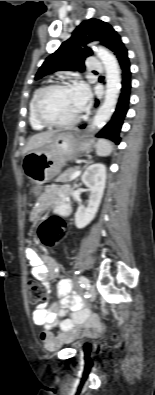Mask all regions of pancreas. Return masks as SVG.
Masks as SVG:
<instances>
[{"label": "pancreas", "mask_w": 155, "mask_h": 395, "mask_svg": "<svg viewBox=\"0 0 155 395\" xmlns=\"http://www.w3.org/2000/svg\"><path fill=\"white\" fill-rule=\"evenodd\" d=\"M79 168L78 167H74L71 168L65 172H63L62 174H60L56 179L55 182H68L70 180L71 175L76 172Z\"/></svg>", "instance_id": "1"}]
</instances>
